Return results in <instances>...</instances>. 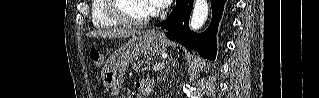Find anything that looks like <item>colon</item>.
I'll list each match as a JSON object with an SVG mask.
<instances>
[{
  "instance_id": "obj_1",
  "label": "colon",
  "mask_w": 319,
  "mask_h": 98,
  "mask_svg": "<svg viewBox=\"0 0 319 98\" xmlns=\"http://www.w3.org/2000/svg\"><path fill=\"white\" fill-rule=\"evenodd\" d=\"M89 57L96 65L102 64V55L98 49H91L89 52Z\"/></svg>"
}]
</instances>
